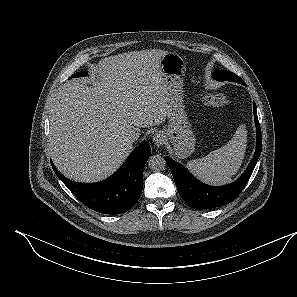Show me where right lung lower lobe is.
<instances>
[{"mask_svg":"<svg viewBox=\"0 0 297 297\" xmlns=\"http://www.w3.org/2000/svg\"><path fill=\"white\" fill-rule=\"evenodd\" d=\"M151 154L147 142H142L120 169L108 179L94 184L76 183L52 168L68 189L88 208L104 214L128 211L139 200L143 187V168Z\"/></svg>","mask_w":297,"mask_h":297,"instance_id":"obj_1","label":"right lung lower lobe"}]
</instances>
